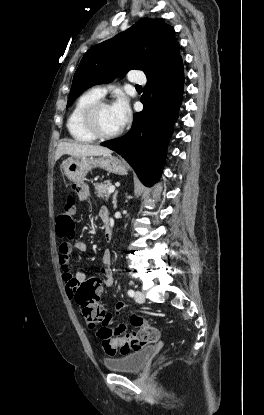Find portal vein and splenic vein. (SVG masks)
Here are the masks:
<instances>
[{
  "instance_id": "portal-vein-and-splenic-vein-1",
  "label": "portal vein and splenic vein",
  "mask_w": 264,
  "mask_h": 415,
  "mask_svg": "<svg viewBox=\"0 0 264 415\" xmlns=\"http://www.w3.org/2000/svg\"><path fill=\"white\" fill-rule=\"evenodd\" d=\"M114 190H115V186H110L109 189H108V195H110L111 193H113Z\"/></svg>"
}]
</instances>
